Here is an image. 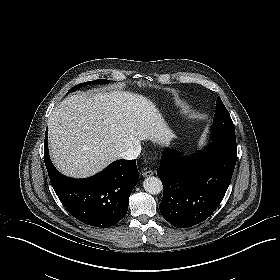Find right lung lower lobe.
<instances>
[{
	"mask_svg": "<svg viewBox=\"0 0 280 280\" xmlns=\"http://www.w3.org/2000/svg\"><path fill=\"white\" fill-rule=\"evenodd\" d=\"M44 161L58 198L79 221L108 228L126 215L129 196L139 179L136 160H117L86 179L68 178L56 170L49 158L46 133Z\"/></svg>",
	"mask_w": 280,
	"mask_h": 280,
	"instance_id": "obj_1",
	"label": "right lung lower lobe"
}]
</instances>
